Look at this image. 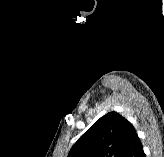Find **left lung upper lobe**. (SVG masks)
Listing matches in <instances>:
<instances>
[{"instance_id": "5c2ea615", "label": "left lung upper lobe", "mask_w": 164, "mask_h": 157, "mask_svg": "<svg viewBox=\"0 0 164 157\" xmlns=\"http://www.w3.org/2000/svg\"><path fill=\"white\" fill-rule=\"evenodd\" d=\"M135 134L127 119L109 112L79 138L67 157H122Z\"/></svg>"}]
</instances>
